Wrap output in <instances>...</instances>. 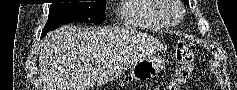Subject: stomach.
<instances>
[{"label":"stomach","instance_id":"0dacf381","mask_svg":"<svg viewBox=\"0 0 237 90\" xmlns=\"http://www.w3.org/2000/svg\"><path fill=\"white\" fill-rule=\"evenodd\" d=\"M164 67L165 63L161 58L146 59L132 67L130 77L136 81H148L157 76Z\"/></svg>","mask_w":237,"mask_h":90}]
</instances>
